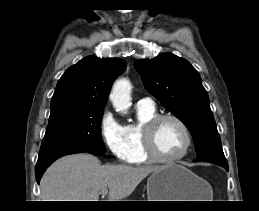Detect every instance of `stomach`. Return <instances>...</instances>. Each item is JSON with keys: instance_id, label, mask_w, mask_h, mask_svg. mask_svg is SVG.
I'll return each mask as SVG.
<instances>
[{"instance_id": "obj_1", "label": "stomach", "mask_w": 259, "mask_h": 211, "mask_svg": "<svg viewBox=\"0 0 259 211\" xmlns=\"http://www.w3.org/2000/svg\"><path fill=\"white\" fill-rule=\"evenodd\" d=\"M147 194L148 201H206L211 187L184 166L168 164L150 175Z\"/></svg>"}]
</instances>
